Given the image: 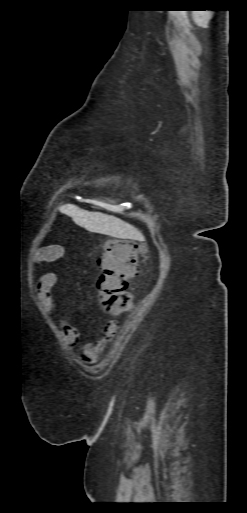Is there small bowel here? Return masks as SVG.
I'll return each mask as SVG.
<instances>
[{"label": "small bowel", "mask_w": 247, "mask_h": 513, "mask_svg": "<svg viewBox=\"0 0 247 513\" xmlns=\"http://www.w3.org/2000/svg\"><path fill=\"white\" fill-rule=\"evenodd\" d=\"M61 249L57 246H49L41 250L34 258L35 264H41L53 261L59 257ZM58 283V277L54 273H47L42 275L36 284L35 294L41 304L43 310L48 315H52L54 311V303L52 298V291ZM117 324L114 321L107 323L103 330L100 340L88 343L84 347L83 355L86 360H93L100 355L105 349L106 345L115 337L117 333ZM63 341L67 346H73L79 339L78 330L69 323L63 324Z\"/></svg>", "instance_id": "c3829d8e"}]
</instances>
